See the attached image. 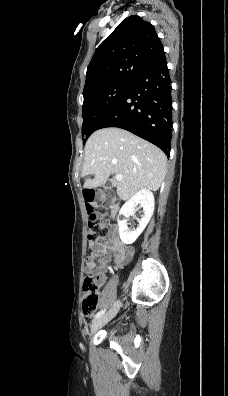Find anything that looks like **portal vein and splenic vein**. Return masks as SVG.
Here are the masks:
<instances>
[{"label": "portal vein and splenic vein", "instance_id": "obj_1", "mask_svg": "<svg viewBox=\"0 0 228 396\" xmlns=\"http://www.w3.org/2000/svg\"><path fill=\"white\" fill-rule=\"evenodd\" d=\"M123 175H121V174H116L115 175V179L117 180V181H122L123 180Z\"/></svg>", "mask_w": 228, "mask_h": 396}]
</instances>
